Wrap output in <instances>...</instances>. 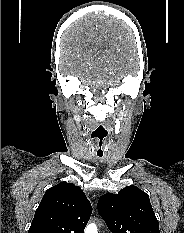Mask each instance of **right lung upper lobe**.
<instances>
[{
  "label": "right lung upper lobe",
  "instance_id": "right-lung-upper-lobe-1",
  "mask_svg": "<svg viewBox=\"0 0 184 233\" xmlns=\"http://www.w3.org/2000/svg\"><path fill=\"white\" fill-rule=\"evenodd\" d=\"M91 212L81 188L61 182L45 192L28 233H84Z\"/></svg>",
  "mask_w": 184,
  "mask_h": 233
}]
</instances>
